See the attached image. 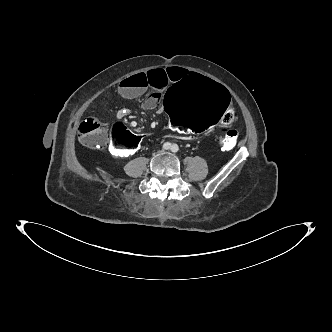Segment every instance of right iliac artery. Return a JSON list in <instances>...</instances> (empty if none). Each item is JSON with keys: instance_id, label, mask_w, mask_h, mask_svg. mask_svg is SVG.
<instances>
[{"instance_id": "obj_1", "label": "right iliac artery", "mask_w": 332, "mask_h": 332, "mask_svg": "<svg viewBox=\"0 0 332 332\" xmlns=\"http://www.w3.org/2000/svg\"><path fill=\"white\" fill-rule=\"evenodd\" d=\"M163 148H164L165 150H168V149L171 148V144H170L169 142H166V143L163 144Z\"/></svg>"}]
</instances>
